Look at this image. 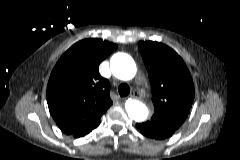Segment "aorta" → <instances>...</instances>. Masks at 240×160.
<instances>
[{
  "label": "aorta",
  "instance_id": "762f6f07",
  "mask_svg": "<svg viewBox=\"0 0 240 160\" xmlns=\"http://www.w3.org/2000/svg\"><path fill=\"white\" fill-rule=\"evenodd\" d=\"M110 68L113 75L120 80H131L136 74V64L131 56L126 53H116L111 57ZM129 118L136 122L145 121L149 110L142 102L129 99L125 103Z\"/></svg>",
  "mask_w": 240,
  "mask_h": 160
}]
</instances>
